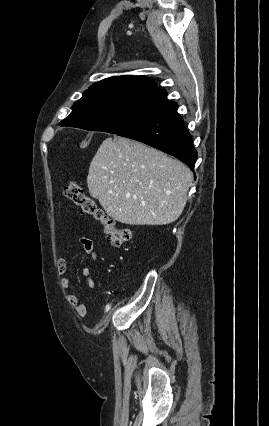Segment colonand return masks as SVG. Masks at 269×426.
<instances>
[{"label":"colon","mask_w":269,"mask_h":426,"mask_svg":"<svg viewBox=\"0 0 269 426\" xmlns=\"http://www.w3.org/2000/svg\"><path fill=\"white\" fill-rule=\"evenodd\" d=\"M65 197L73 202L84 215L92 217L99 222L103 228V233L113 245H122L131 239V232L126 228L119 227L102 209L95 200L87 196L80 185L70 182L64 190Z\"/></svg>","instance_id":"colon-1"}]
</instances>
